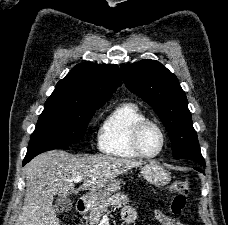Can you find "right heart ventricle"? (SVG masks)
Returning <instances> with one entry per match:
<instances>
[{"mask_svg":"<svg viewBox=\"0 0 228 225\" xmlns=\"http://www.w3.org/2000/svg\"><path fill=\"white\" fill-rule=\"evenodd\" d=\"M146 119L147 116L136 103L119 104L110 112L100 129L99 149L115 157L142 158L134 147L133 134L136 126Z\"/></svg>","mask_w":228,"mask_h":225,"instance_id":"1","label":"right heart ventricle"}]
</instances>
